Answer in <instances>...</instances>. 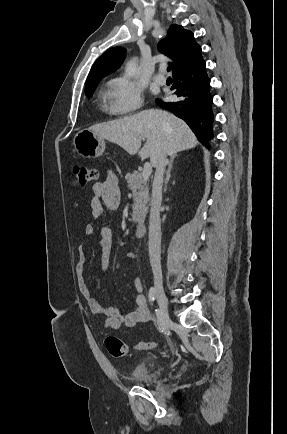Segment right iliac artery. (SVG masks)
Listing matches in <instances>:
<instances>
[{
	"mask_svg": "<svg viewBox=\"0 0 287 434\" xmlns=\"http://www.w3.org/2000/svg\"><path fill=\"white\" fill-rule=\"evenodd\" d=\"M148 297H149L150 302L153 304V302L155 301V288L154 287H151L149 289Z\"/></svg>",
	"mask_w": 287,
	"mask_h": 434,
	"instance_id": "82829eb1",
	"label": "right iliac artery"
}]
</instances>
